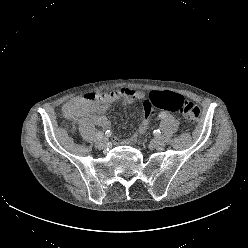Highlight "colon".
Wrapping results in <instances>:
<instances>
[{
  "label": "colon",
  "instance_id": "obj_1",
  "mask_svg": "<svg viewBox=\"0 0 248 248\" xmlns=\"http://www.w3.org/2000/svg\"><path fill=\"white\" fill-rule=\"evenodd\" d=\"M155 109L181 112L189 123H196L200 119L199 107L185 97L168 91L152 92L143 103V118L139 129L141 137L147 133Z\"/></svg>",
  "mask_w": 248,
  "mask_h": 248
}]
</instances>
